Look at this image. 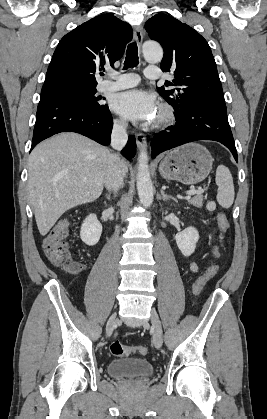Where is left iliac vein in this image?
<instances>
[{
    "label": "left iliac vein",
    "instance_id": "1",
    "mask_svg": "<svg viewBox=\"0 0 267 419\" xmlns=\"http://www.w3.org/2000/svg\"><path fill=\"white\" fill-rule=\"evenodd\" d=\"M150 320L154 329L153 344L156 348L159 349L162 346L163 339H162L161 322L155 310L151 311ZM144 326H146V324H144Z\"/></svg>",
    "mask_w": 267,
    "mask_h": 419
}]
</instances>
